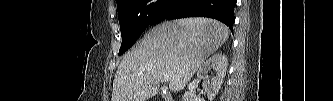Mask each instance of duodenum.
Masks as SVG:
<instances>
[{"label":"duodenum","mask_w":333,"mask_h":101,"mask_svg":"<svg viewBox=\"0 0 333 101\" xmlns=\"http://www.w3.org/2000/svg\"><path fill=\"white\" fill-rule=\"evenodd\" d=\"M163 98L165 101H173L172 98L168 94H164Z\"/></svg>","instance_id":"1"}]
</instances>
